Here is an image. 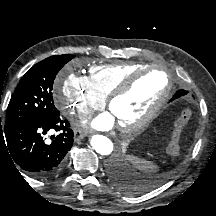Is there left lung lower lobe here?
Wrapping results in <instances>:
<instances>
[{"label":"left lung lower lobe","mask_w":216,"mask_h":216,"mask_svg":"<svg viewBox=\"0 0 216 216\" xmlns=\"http://www.w3.org/2000/svg\"><path fill=\"white\" fill-rule=\"evenodd\" d=\"M185 93L187 94V92L184 90L183 92L181 90H178L173 96L172 100L185 95ZM109 172L112 176L113 181L121 190L131 193L136 187L132 182V176L125 172L120 162L114 161L110 166Z\"/></svg>","instance_id":"1"}]
</instances>
